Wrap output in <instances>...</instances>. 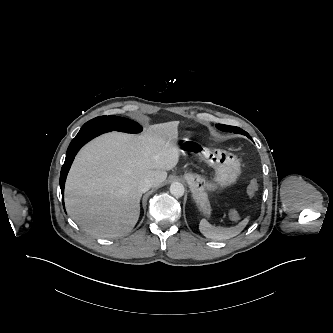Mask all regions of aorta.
Wrapping results in <instances>:
<instances>
[{"label":"aorta","instance_id":"aorta-1","mask_svg":"<svg viewBox=\"0 0 333 333\" xmlns=\"http://www.w3.org/2000/svg\"><path fill=\"white\" fill-rule=\"evenodd\" d=\"M184 191V186L180 182H174L170 186V193L177 198L182 197Z\"/></svg>","mask_w":333,"mask_h":333}]
</instances>
